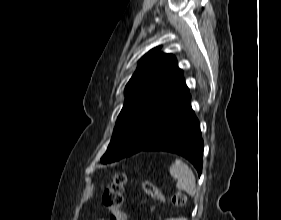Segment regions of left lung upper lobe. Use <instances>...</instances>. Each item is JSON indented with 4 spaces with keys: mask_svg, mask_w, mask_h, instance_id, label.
I'll return each instance as SVG.
<instances>
[{
    "mask_svg": "<svg viewBox=\"0 0 281 220\" xmlns=\"http://www.w3.org/2000/svg\"><path fill=\"white\" fill-rule=\"evenodd\" d=\"M172 54L150 50L125 88L124 106L101 163L118 161L149 143L169 109L187 90Z\"/></svg>",
    "mask_w": 281,
    "mask_h": 220,
    "instance_id": "left-lung-upper-lobe-1",
    "label": "left lung upper lobe"
}]
</instances>
